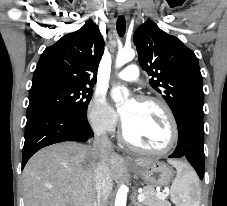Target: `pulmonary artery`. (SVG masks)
I'll list each match as a JSON object with an SVG mask.
<instances>
[{
    "label": "pulmonary artery",
    "instance_id": "obj_1",
    "mask_svg": "<svg viewBox=\"0 0 227 206\" xmlns=\"http://www.w3.org/2000/svg\"><path fill=\"white\" fill-rule=\"evenodd\" d=\"M140 71L137 65H129L120 71L116 78L125 82H135L139 79Z\"/></svg>",
    "mask_w": 227,
    "mask_h": 206
}]
</instances>
